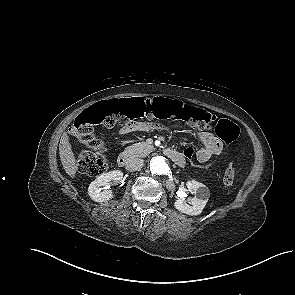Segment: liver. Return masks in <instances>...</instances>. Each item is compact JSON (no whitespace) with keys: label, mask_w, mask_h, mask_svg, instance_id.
Returning <instances> with one entry per match:
<instances>
[{"label":"liver","mask_w":295,"mask_h":295,"mask_svg":"<svg viewBox=\"0 0 295 295\" xmlns=\"http://www.w3.org/2000/svg\"><path fill=\"white\" fill-rule=\"evenodd\" d=\"M59 154L65 172L70 177L74 178L78 169V164L76 163L75 155L72 151V147L69 143V137L67 134H64L61 137L59 144Z\"/></svg>","instance_id":"6515ba94"}]
</instances>
